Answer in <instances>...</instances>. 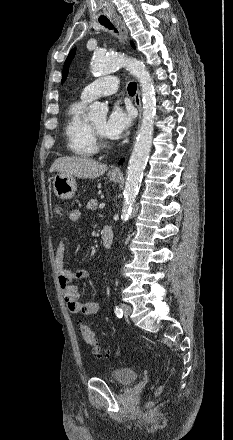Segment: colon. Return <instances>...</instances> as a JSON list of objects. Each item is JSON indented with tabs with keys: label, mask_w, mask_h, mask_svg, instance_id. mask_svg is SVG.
Returning a JSON list of instances; mask_svg holds the SVG:
<instances>
[{
	"label": "colon",
	"mask_w": 233,
	"mask_h": 440,
	"mask_svg": "<svg viewBox=\"0 0 233 440\" xmlns=\"http://www.w3.org/2000/svg\"><path fill=\"white\" fill-rule=\"evenodd\" d=\"M54 215L56 217H61L63 215V208L61 205L56 204L54 206ZM79 330L82 334L84 341L90 345L93 349L95 356L98 358H106L109 356V352L102 348L100 343L98 342L95 333L90 328V326L85 321H80L78 323ZM162 390L161 386H158L155 391V395H159Z\"/></svg>",
	"instance_id": "colon-1"
}]
</instances>
